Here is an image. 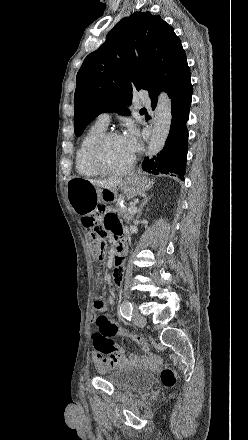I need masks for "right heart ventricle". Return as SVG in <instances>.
I'll list each match as a JSON object with an SVG mask.
<instances>
[{"label": "right heart ventricle", "mask_w": 248, "mask_h": 440, "mask_svg": "<svg viewBox=\"0 0 248 440\" xmlns=\"http://www.w3.org/2000/svg\"><path fill=\"white\" fill-rule=\"evenodd\" d=\"M106 132V127L95 123L83 135L76 152V171L85 177L95 178L100 174L94 169L90 161V152L96 140Z\"/></svg>", "instance_id": "1"}]
</instances>
